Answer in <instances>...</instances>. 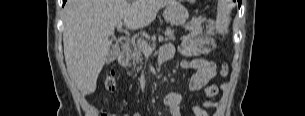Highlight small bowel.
Returning a JSON list of instances; mask_svg holds the SVG:
<instances>
[{
	"label": "small bowel",
	"instance_id": "obj_1",
	"mask_svg": "<svg viewBox=\"0 0 305 116\" xmlns=\"http://www.w3.org/2000/svg\"><path fill=\"white\" fill-rule=\"evenodd\" d=\"M214 46V43H212ZM175 53L174 46L166 44L161 48L160 60L162 62L170 60ZM180 67L192 72L189 81V89L198 91L204 89L206 97L213 98L218 92L219 88L216 84H211L210 81L216 76V64L213 61L196 58L190 61L183 60L180 62ZM183 97L179 93H169L164 98V105L169 109L171 116H182L181 106ZM217 102L213 100L205 101L202 106L194 105L192 111L195 116H209L205 109L215 108ZM135 116H140L139 114Z\"/></svg>",
	"mask_w": 305,
	"mask_h": 116
}]
</instances>
